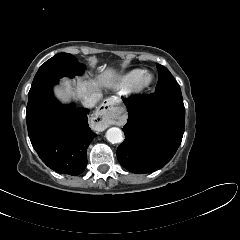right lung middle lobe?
<instances>
[{
  "mask_svg": "<svg viewBox=\"0 0 240 240\" xmlns=\"http://www.w3.org/2000/svg\"><path fill=\"white\" fill-rule=\"evenodd\" d=\"M85 65L78 62V60L71 54L60 53L46 61L36 73L29 95L34 93L43 84L68 76L72 78L74 75H80Z\"/></svg>",
  "mask_w": 240,
  "mask_h": 240,
  "instance_id": "obj_1",
  "label": "right lung middle lobe"
}]
</instances>
